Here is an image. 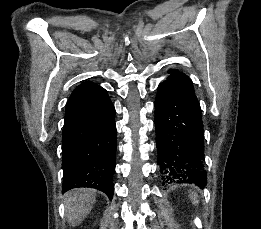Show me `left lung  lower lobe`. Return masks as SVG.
<instances>
[{
	"mask_svg": "<svg viewBox=\"0 0 261 229\" xmlns=\"http://www.w3.org/2000/svg\"><path fill=\"white\" fill-rule=\"evenodd\" d=\"M159 84L155 126L159 172L163 178L204 187V130L190 78L178 70Z\"/></svg>",
	"mask_w": 261,
	"mask_h": 229,
	"instance_id": "left-lung-lower-lobe-1",
	"label": "left lung lower lobe"
}]
</instances>
